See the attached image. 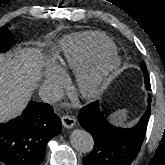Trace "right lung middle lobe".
Segmentation results:
<instances>
[{
    "label": "right lung middle lobe",
    "instance_id": "obj_1",
    "mask_svg": "<svg viewBox=\"0 0 165 165\" xmlns=\"http://www.w3.org/2000/svg\"><path fill=\"white\" fill-rule=\"evenodd\" d=\"M14 44L13 35L4 27L0 30V52H6L9 50Z\"/></svg>",
    "mask_w": 165,
    "mask_h": 165
}]
</instances>
